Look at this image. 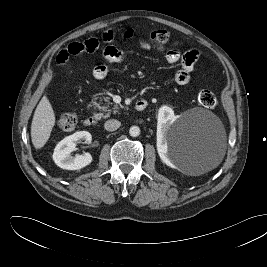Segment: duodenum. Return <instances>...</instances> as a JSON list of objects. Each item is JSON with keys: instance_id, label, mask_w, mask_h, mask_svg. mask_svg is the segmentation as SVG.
<instances>
[{"instance_id": "obj_1", "label": "duodenum", "mask_w": 267, "mask_h": 267, "mask_svg": "<svg viewBox=\"0 0 267 267\" xmlns=\"http://www.w3.org/2000/svg\"><path fill=\"white\" fill-rule=\"evenodd\" d=\"M147 105H148L147 100L140 99L135 103V109L137 111H142L147 107ZM83 123L85 126H93L97 123V119L94 116H88L84 119Z\"/></svg>"}]
</instances>
